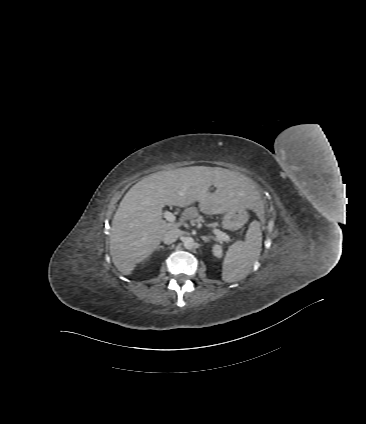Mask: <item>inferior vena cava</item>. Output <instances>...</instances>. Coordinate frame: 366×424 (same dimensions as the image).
Instances as JSON below:
<instances>
[{
  "label": "inferior vena cava",
  "instance_id": "1",
  "mask_svg": "<svg viewBox=\"0 0 366 424\" xmlns=\"http://www.w3.org/2000/svg\"><path fill=\"white\" fill-rule=\"evenodd\" d=\"M181 234H182V231L178 228L169 230L164 235L163 242L166 245H170V244L174 243Z\"/></svg>",
  "mask_w": 366,
  "mask_h": 424
}]
</instances>
